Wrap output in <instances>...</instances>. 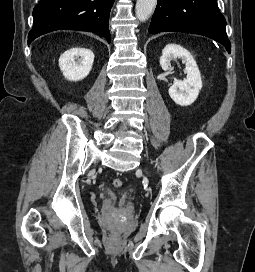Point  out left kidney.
<instances>
[{
  "label": "left kidney",
  "instance_id": "5707ae66",
  "mask_svg": "<svg viewBox=\"0 0 255 272\" xmlns=\"http://www.w3.org/2000/svg\"><path fill=\"white\" fill-rule=\"evenodd\" d=\"M173 58L182 59L187 76L184 81L174 80L173 85L169 88V95L180 106L191 105L197 99L202 88L199 68L189 51L180 45L168 44L163 49L160 57V65L164 71L171 68L170 62Z\"/></svg>",
  "mask_w": 255,
  "mask_h": 272
}]
</instances>
